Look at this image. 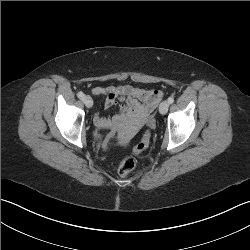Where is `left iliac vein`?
<instances>
[{
    "instance_id": "obj_1",
    "label": "left iliac vein",
    "mask_w": 250,
    "mask_h": 250,
    "mask_svg": "<svg viewBox=\"0 0 250 250\" xmlns=\"http://www.w3.org/2000/svg\"><path fill=\"white\" fill-rule=\"evenodd\" d=\"M168 108H169V103H168V101H163V102L160 104V106H159V112H160L161 114H165V113H167Z\"/></svg>"
}]
</instances>
